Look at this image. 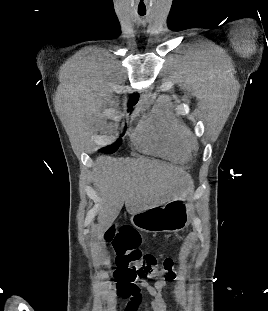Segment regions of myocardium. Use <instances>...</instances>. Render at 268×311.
I'll return each instance as SVG.
<instances>
[{
  "label": "myocardium",
  "mask_w": 268,
  "mask_h": 311,
  "mask_svg": "<svg viewBox=\"0 0 268 311\" xmlns=\"http://www.w3.org/2000/svg\"><path fill=\"white\" fill-rule=\"evenodd\" d=\"M181 135L183 142L188 148L196 147V139L191 135L190 131L184 126H182Z\"/></svg>",
  "instance_id": "obj_1"
}]
</instances>
